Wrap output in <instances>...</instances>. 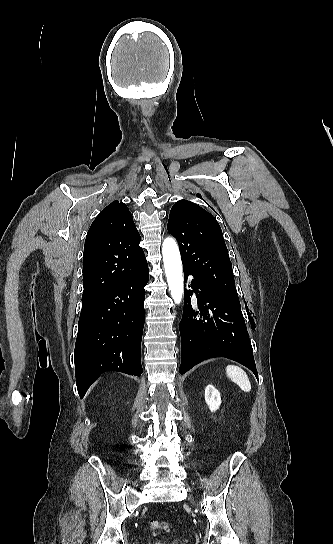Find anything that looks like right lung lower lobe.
<instances>
[{"label":"right lung lower lobe","mask_w":333,"mask_h":544,"mask_svg":"<svg viewBox=\"0 0 333 544\" xmlns=\"http://www.w3.org/2000/svg\"><path fill=\"white\" fill-rule=\"evenodd\" d=\"M145 264L107 293L82 302L74 350L78 393L106 371L140 376L144 327Z\"/></svg>","instance_id":"98d812e1"}]
</instances>
